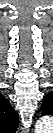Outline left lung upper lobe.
Returning <instances> with one entry per match:
<instances>
[{
    "instance_id": "left-lung-upper-lobe-1",
    "label": "left lung upper lobe",
    "mask_w": 53,
    "mask_h": 133,
    "mask_svg": "<svg viewBox=\"0 0 53 133\" xmlns=\"http://www.w3.org/2000/svg\"><path fill=\"white\" fill-rule=\"evenodd\" d=\"M41 109L42 115H53V95L51 93L44 97Z\"/></svg>"
}]
</instances>
